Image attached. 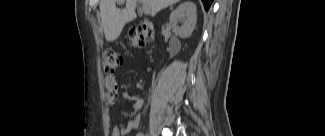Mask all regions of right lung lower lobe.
<instances>
[{
	"instance_id": "98d812e1",
	"label": "right lung lower lobe",
	"mask_w": 325,
	"mask_h": 136,
	"mask_svg": "<svg viewBox=\"0 0 325 136\" xmlns=\"http://www.w3.org/2000/svg\"><path fill=\"white\" fill-rule=\"evenodd\" d=\"M203 4H204V8L205 10H209L211 3L213 2V0H202Z\"/></svg>"
}]
</instances>
